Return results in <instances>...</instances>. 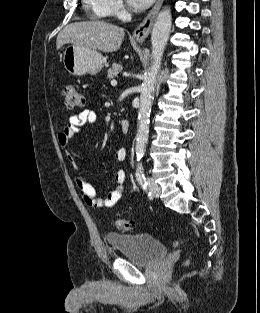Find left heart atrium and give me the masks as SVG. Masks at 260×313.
I'll use <instances>...</instances> for the list:
<instances>
[{"label":"left heart atrium","mask_w":260,"mask_h":313,"mask_svg":"<svg viewBox=\"0 0 260 313\" xmlns=\"http://www.w3.org/2000/svg\"><path fill=\"white\" fill-rule=\"evenodd\" d=\"M154 0H128L129 4L137 11L148 8Z\"/></svg>","instance_id":"left-heart-atrium-1"}]
</instances>
